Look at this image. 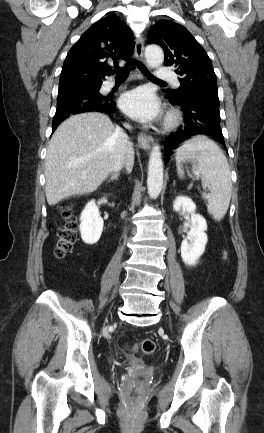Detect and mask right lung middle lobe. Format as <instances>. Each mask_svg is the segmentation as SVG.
<instances>
[{
    "label": "right lung middle lobe",
    "instance_id": "obj_1",
    "mask_svg": "<svg viewBox=\"0 0 264 433\" xmlns=\"http://www.w3.org/2000/svg\"><path fill=\"white\" fill-rule=\"evenodd\" d=\"M74 85H81V84H74ZM63 89H65V88H63ZM63 89H60V90H63Z\"/></svg>",
    "mask_w": 264,
    "mask_h": 433
}]
</instances>
